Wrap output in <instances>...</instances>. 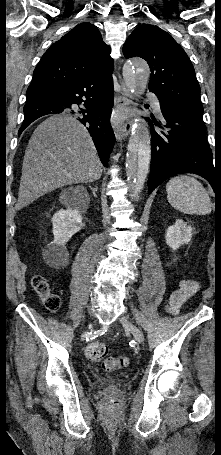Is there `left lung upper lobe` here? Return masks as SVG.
Here are the masks:
<instances>
[{"label": "left lung upper lobe", "instance_id": "obj_1", "mask_svg": "<svg viewBox=\"0 0 221 455\" xmlns=\"http://www.w3.org/2000/svg\"><path fill=\"white\" fill-rule=\"evenodd\" d=\"M126 58L141 57L150 67L149 90L163 104L203 116L200 86L182 47L158 26H138L123 46Z\"/></svg>", "mask_w": 221, "mask_h": 455}]
</instances>
